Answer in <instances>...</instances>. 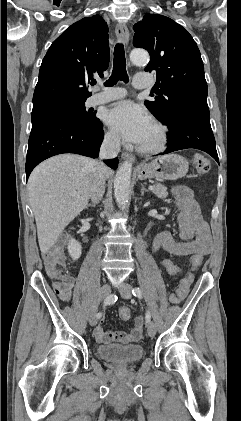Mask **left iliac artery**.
<instances>
[{"instance_id": "obj_1", "label": "left iliac artery", "mask_w": 241, "mask_h": 421, "mask_svg": "<svg viewBox=\"0 0 241 421\" xmlns=\"http://www.w3.org/2000/svg\"><path fill=\"white\" fill-rule=\"evenodd\" d=\"M132 293H133V295L135 297H138V298L142 299V291L140 290L139 287H135L132 290ZM145 319H146V323H149L150 322V319H151V313H150V311H147L146 312Z\"/></svg>"}]
</instances>
